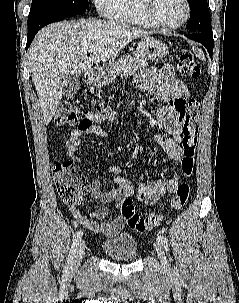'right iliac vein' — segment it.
I'll use <instances>...</instances> for the list:
<instances>
[{
    "mask_svg": "<svg viewBox=\"0 0 239 303\" xmlns=\"http://www.w3.org/2000/svg\"><path fill=\"white\" fill-rule=\"evenodd\" d=\"M84 255H85V244L81 243L78 250H77L75 259L73 261V264H72V270L73 271H75L79 268V266H80V264L83 260Z\"/></svg>",
    "mask_w": 239,
    "mask_h": 303,
    "instance_id": "1",
    "label": "right iliac vein"
}]
</instances>
